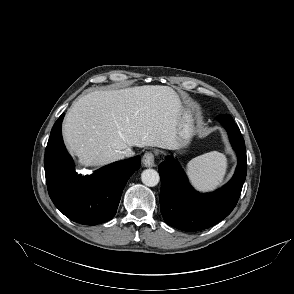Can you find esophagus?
I'll list each match as a JSON object with an SVG mask.
<instances>
[{"label": "esophagus", "instance_id": "1", "mask_svg": "<svg viewBox=\"0 0 294 294\" xmlns=\"http://www.w3.org/2000/svg\"><path fill=\"white\" fill-rule=\"evenodd\" d=\"M142 163L145 167H153L155 165L154 154L146 152L142 158Z\"/></svg>", "mask_w": 294, "mask_h": 294}]
</instances>
